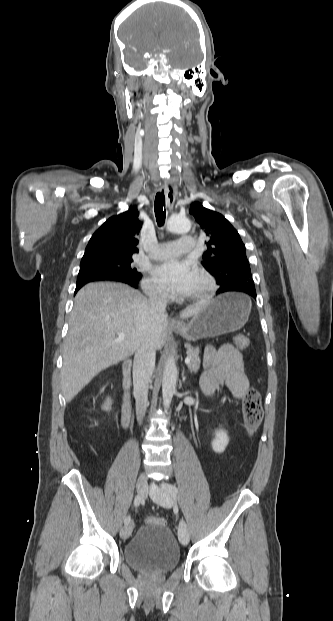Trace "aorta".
Masks as SVG:
<instances>
[{"label": "aorta", "mask_w": 333, "mask_h": 621, "mask_svg": "<svg viewBox=\"0 0 333 621\" xmlns=\"http://www.w3.org/2000/svg\"><path fill=\"white\" fill-rule=\"evenodd\" d=\"M167 230L172 233H186L190 230V221L185 217L178 215H172L166 224ZM177 381V367L173 357H169L166 361L163 380H162V395H163V407L168 410L172 397L175 393V386Z\"/></svg>", "instance_id": "762f6f07"}]
</instances>
